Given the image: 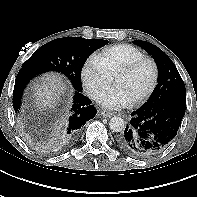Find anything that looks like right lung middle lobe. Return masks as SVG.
Returning a JSON list of instances; mask_svg holds the SVG:
<instances>
[{
    "label": "right lung middle lobe",
    "instance_id": "obj_1",
    "mask_svg": "<svg viewBox=\"0 0 197 197\" xmlns=\"http://www.w3.org/2000/svg\"><path fill=\"white\" fill-rule=\"evenodd\" d=\"M108 43L103 39L64 37L41 46L23 65L39 73L56 71L71 81L75 91L82 92L81 70L86 59Z\"/></svg>",
    "mask_w": 197,
    "mask_h": 197
}]
</instances>
